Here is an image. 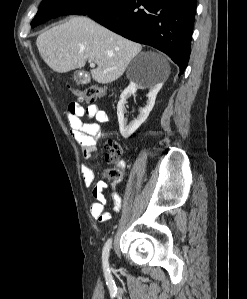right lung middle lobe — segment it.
I'll use <instances>...</instances> for the list:
<instances>
[{
	"mask_svg": "<svg viewBox=\"0 0 247 299\" xmlns=\"http://www.w3.org/2000/svg\"><path fill=\"white\" fill-rule=\"evenodd\" d=\"M124 0H42L31 26L62 15H88L113 7Z\"/></svg>",
	"mask_w": 247,
	"mask_h": 299,
	"instance_id": "right-lung-middle-lobe-1",
	"label": "right lung middle lobe"
}]
</instances>
